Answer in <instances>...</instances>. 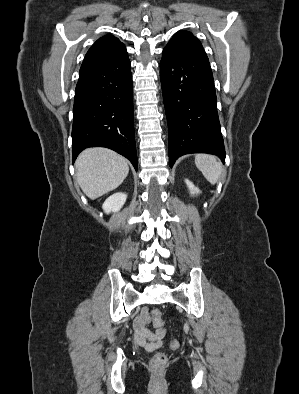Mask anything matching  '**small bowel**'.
I'll return each mask as SVG.
<instances>
[{"label": "small bowel", "mask_w": 299, "mask_h": 394, "mask_svg": "<svg viewBox=\"0 0 299 394\" xmlns=\"http://www.w3.org/2000/svg\"><path fill=\"white\" fill-rule=\"evenodd\" d=\"M151 322V317L147 308H143L140 315L136 318L135 327V341L138 345L144 347L148 351H153L161 346L166 335V328L157 325L154 321L155 331L146 328V325Z\"/></svg>", "instance_id": "c3829d8e"}]
</instances>
